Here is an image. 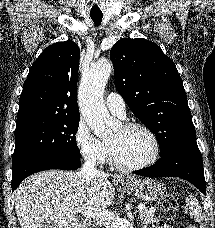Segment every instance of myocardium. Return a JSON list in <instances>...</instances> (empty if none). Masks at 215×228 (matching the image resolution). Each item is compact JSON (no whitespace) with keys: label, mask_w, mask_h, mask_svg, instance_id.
I'll return each mask as SVG.
<instances>
[{"label":"myocardium","mask_w":215,"mask_h":228,"mask_svg":"<svg viewBox=\"0 0 215 228\" xmlns=\"http://www.w3.org/2000/svg\"><path fill=\"white\" fill-rule=\"evenodd\" d=\"M122 127L124 129H133V128L142 129L148 135V137L150 139L151 151H150L148 157L141 163H138L135 165H125V164L120 163L116 159L113 148L111 147L110 144H108L109 157H110L111 164L115 168H117L121 171H124V172H134V171H138V170L148 167L150 164H152L157 159L158 154H159V141H158L156 134L148 125L141 123V122H136V121L127 122Z\"/></svg>","instance_id":"1"}]
</instances>
